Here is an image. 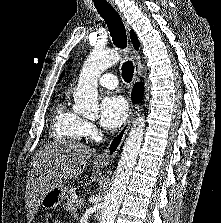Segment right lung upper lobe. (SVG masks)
I'll return each mask as SVG.
<instances>
[{
  "label": "right lung upper lobe",
  "instance_id": "cb5924a9",
  "mask_svg": "<svg viewBox=\"0 0 221 223\" xmlns=\"http://www.w3.org/2000/svg\"><path fill=\"white\" fill-rule=\"evenodd\" d=\"M130 38H131V41H132V44H133L134 48L136 50H138V48H139V41H138V38H137L136 34L133 31L130 32ZM63 75L64 74L61 75L60 79L63 77Z\"/></svg>",
  "mask_w": 221,
  "mask_h": 223
}]
</instances>
